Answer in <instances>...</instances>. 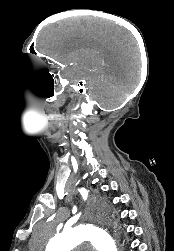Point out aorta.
I'll use <instances>...</instances> for the list:
<instances>
[{"label":"aorta","mask_w":174,"mask_h":251,"mask_svg":"<svg viewBox=\"0 0 174 251\" xmlns=\"http://www.w3.org/2000/svg\"><path fill=\"white\" fill-rule=\"evenodd\" d=\"M108 226L107 221L95 214L93 208H88L86 220L53 238L45 251H71L84 242L90 243L98 251H118L119 239L110 234Z\"/></svg>","instance_id":"obj_1"}]
</instances>
